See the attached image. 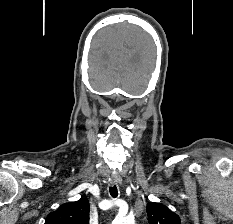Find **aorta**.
Returning a JSON list of instances; mask_svg holds the SVG:
<instances>
[{
  "label": "aorta",
  "mask_w": 233,
  "mask_h": 224,
  "mask_svg": "<svg viewBox=\"0 0 233 224\" xmlns=\"http://www.w3.org/2000/svg\"><path fill=\"white\" fill-rule=\"evenodd\" d=\"M113 224H135V221L133 218L128 217V216H117Z\"/></svg>",
  "instance_id": "obj_1"
}]
</instances>
